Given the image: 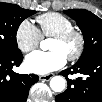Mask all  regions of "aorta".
Listing matches in <instances>:
<instances>
[{
  "label": "aorta",
  "mask_w": 102,
  "mask_h": 102,
  "mask_svg": "<svg viewBox=\"0 0 102 102\" xmlns=\"http://www.w3.org/2000/svg\"><path fill=\"white\" fill-rule=\"evenodd\" d=\"M40 48L42 50L48 49V39L40 42ZM66 81L62 76H55L50 81V87L54 92H62L65 89Z\"/></svg>",
  "instance_id": "aorta-1"
}]
</instances>
